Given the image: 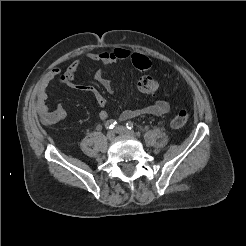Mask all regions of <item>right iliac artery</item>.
Wrapping results in <instances>:
<instances>
[{
    "label": "right iliac artery",
    "mask_w": 246,
    "mask_h": 246,
    "mask_svg": "<svg viewBox=\"0 0 246 246\" xmlns=\"http://www.w3.org/2000/svg\"><path fill=\"white\" fill-rule=\"evenodd\" d=\"M116 121L115 120H113V119H110V120H108L106 123H105V128L106 129H113L114 128V126L116 125Z\"/></svg>",
    "instance_id": "right-iliac-artery-1"
}]
</instances>
